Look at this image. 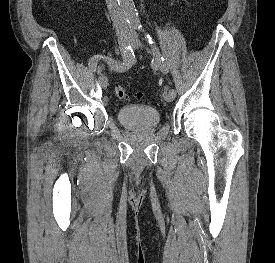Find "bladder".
I'll use <instances>...</instances> for the list:
<instances>
[{
  "mask_svg": "<svg viewBox=\"0 0 275 263\" xmlns=\"http://www.w3.org/2000/svg\"><path fill=\"white\" fill-rule=\"evenodd\" d=\"M118 122L130 130H147L154 128L160 122V113L149 106L131 105L117 110Z\"/></svg>",
  "mask_w": 275,
  "mask_h": 263,
  "instance_id": "1",
  "label": "bladder"
}]
</instances>
